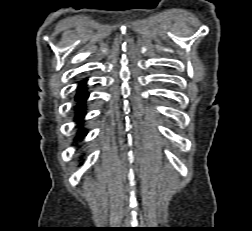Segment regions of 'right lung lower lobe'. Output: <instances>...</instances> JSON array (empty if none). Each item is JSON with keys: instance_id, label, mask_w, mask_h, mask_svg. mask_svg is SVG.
Returning <instances> with one entry per match:
<instances>
[{"instance_id": "1", "label": "right lung lower lobe", "mask_w": 252, "mask_h": 231, "mask_svg": "<svg viewBox=\"0 0 252 231\" xmlns=\"http://www.w3.org/2000/svg\"><path fill=\"white\" fill-rule=\"evenodd\" d=\"M86 85L85 83H82L81 85H79L78 89H77V94L75 96V101H77V105L74 108L75 112H76V120L81 121L82 117L85 115V107H86V103L85 100L88 98L89 93L86 91ZM82 124V121L80 122L79 126ZM87 132L86 130H82L81 128H79V132L76 136V140H81L83 136H86Z\"/></svg>"}]
</instances>
